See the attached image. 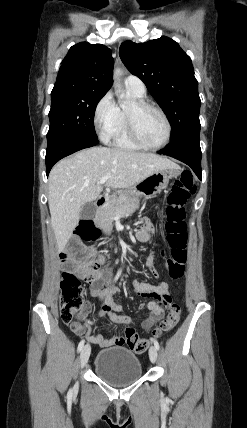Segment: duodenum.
Instances as JSON below:
<instances>
[{
    "instance_id": "duodenum-1",
    "label": "duodenum",
    "mask_w": 247,
    "mask_h": 428,
    "mask_svg": "<svg viewBox=\"0 0 247 428\" xmlns=\"http://www.w3.org/2000/svg\"><path fill=\"white\" fill-rule=\"evenodd\" d=\"M106 202H107V198H106V197H104V196H102V197H99V198L96 200V205H97L98 207H103V206L106 204Z\"/></svg>"
}]
</instances>
